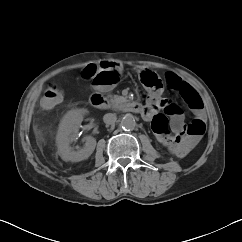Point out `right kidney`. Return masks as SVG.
I'll list each match as a JSON object with an SVG mask.
<instances>
[{
	"label": "right kidney",
	"instance_id": "right-kidney-1",
	"mask_svg": "<svg viewBox=\"0 0 242 242\" xmlns=\"http://www.w3.org/2000/svg\"><path fill=\"white\" fill-rule=\"evenodd\" d=\"M86 109H73L62 118L57 133L56 143L58 154L64 161L79 162L87 159L96 147V139L92 136L84 137V147L74 150L70 144L77 140V134L83 121Z\"/></svg>",
	"mask_w": 242,
	"mask_h": 242
}]
</instances>
